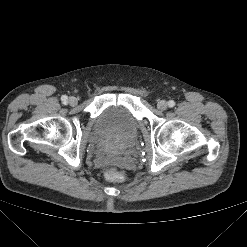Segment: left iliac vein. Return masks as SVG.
Instances as JSON below:
<instances>
[{
  "instance_id": "4c4485c4",
  "label": "left iliac vein",
  "mask_w": 247,
  "mask_h": 247,
  "mask_svg": "<svg viewBox=\"0 0 247 247\" xmlns=\"http://www.w3.org/2000/svg\"><path fill=\"white\" fill-rule=\"evenodd\" d=\"M168 107V104L165 100H160L158 103H157V108L161 111H164L166 110Z\"/></svg>"
}]
</instances>
